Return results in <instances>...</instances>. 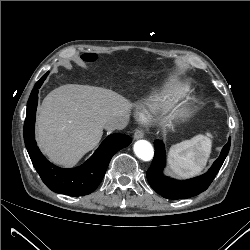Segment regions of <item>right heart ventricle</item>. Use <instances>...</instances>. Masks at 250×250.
Masks as SVG:
<instances>
[{"instance_id":"e07e8e85","label":"right heart ventricle","mask_w":250,"mask_h":250,"mask_svg":"<svg viewBox=\"0 0 250 250\" xmlns=\"http://www.w3.org/2000/svg\"><path fill=\"white\" fill-rule=\"evenodd\" d=\"M189 90V84L178 79H171L161 84L144 102L146 113L166 109L176 104Z\"/></svg>"}]
</instances>
